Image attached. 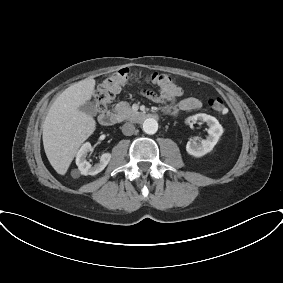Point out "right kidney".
Listing matches in <instances>:
<instances>
[{
    "mask_svg": "<svg viewBox=\"0 0 283 283\" xmlns=\"http://www.w3.org/2000/svg\"><path fill=\"white\" fill-rule=\"evenodd\" d=\"M92 151V146L89 142H86L78 150L76 155V165L78 170L82 175H96L100 173L107 166L111 159L110 153H104L101 155L99 163L92 166L87 160L86 157L88 153Z\"/></svg>",
    "mask_w": 283,
    "mask_h": 283,
    "instance_id": "obj_1",
    "label": "right kidney"
}]
</instances>
